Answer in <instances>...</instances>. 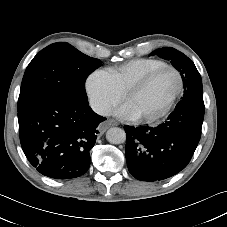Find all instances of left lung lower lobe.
<instances>
[{"mask_svg":"<svg viewBox=\"0 0 227 227\" xmlns=\"http://www.w3.org/2000/svg\"><path fill=\"white\" fill-rule=\"evenodd\" d=\"M204 107H176L155 128L125 126L126 161L138 180L169 178L190 162L201 137Z\"/></svg>","mask_w":227,"mask_h":227,"instance_id":"0a47b994","label":"left lung lower lobe"}]
</instances>
